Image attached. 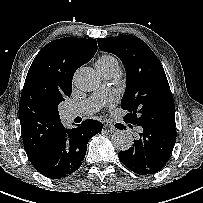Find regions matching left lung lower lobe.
Instances as JSON below:
<instances>
[{
  "label": "left lung lower lobe",
  "mask_w": 203,
  "mask_h": 203,
  "mask_svg": "<svg viewBox=\"0 0 203 203\" xmlns=\"http://www.w3.org/2000/svg\"><path fill=\"white\" fill-rule=\"evenodd\" d=\"M132 128V125H130ZM140 131L134 144L120 151V161L139 175H151L161 171L170 157L176 142V128H164L155 124L138 126Z\"/></svg>",
  "instance_id": "left-lung-lower-lobe-1"
}]
</instances>
